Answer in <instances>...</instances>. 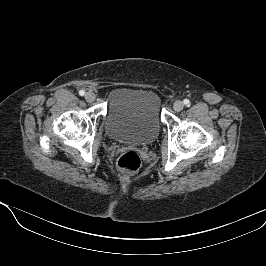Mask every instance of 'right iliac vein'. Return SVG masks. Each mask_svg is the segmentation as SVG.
<instances>
[{
  "label": "right iliac vein",
  "mask_w": 266,
  "mask_h": 266,
  "mask_svg": "<svg viewBox=\"0 0 266 266\" xmlns=\"http://www.w3.org/2000/svg\"><path fill=\"white\" fill-rule=\"evenodd\" d=\"M95 98H96V96H95V94L92 93V92H87V93L85 94V99H86V101L89 102V103L93 102V101L95 100Z\"/></svg>",
  "instance_id": "right-iliac-vein-1"
}]
</instances>
